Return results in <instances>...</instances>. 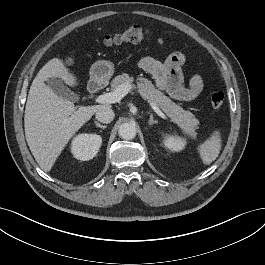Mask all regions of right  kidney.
<instances>
[{
	"label": "right kidney",
	"mask_w": 265,
	"mask_h": 265,
	"mask_svg": "<svg viewBox=\"0 0 265 265\" xmlns=\"http://www.w3.org/2000/svg\"><path fill=\"white\" fill-rule=\"evenodd\" d=\"M102 138L97 134H79L71 144V152L76 159L87 161L95 157L101 147Z\"/></svg>",
	"instance_id": "1"
}]
</instances>
